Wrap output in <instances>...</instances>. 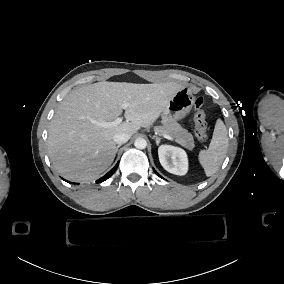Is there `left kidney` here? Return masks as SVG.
Returning a JSON list of instances; mask_svg holds the SVG:
<instances>
[{"label":"left kidney","mask_w":284,"mask_h":284,"mask_svg":"<svg viewBox=\"0 0 284 284\" xmlns=\"http://www.w3.org/2000/svg\"><path fill=\"white\" fill-rule=\"evenodd\" d=\"M159 161L163 168L175 175H185L188 171L186 152L175 146L161 145L158 148Z\"/></svg>","instance_id":"1"}]
</instances>
